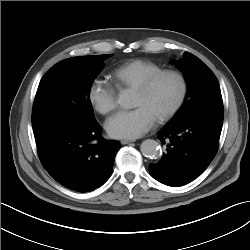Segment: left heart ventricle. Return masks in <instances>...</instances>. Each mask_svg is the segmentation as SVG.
<instances>
[{
  "mask_svg": "<svg viewBox=\"0 0 250 250\" xmlns=\"http://www.w3.org/2000/svg\"><path fill=\"white\" fill-rule=\"evenodd\" d=\"M179 92L178 81L170 76L160 78L147 94L135 91L134 107H145L155 119L170 108Z\"/></svg>",
  "mask_w": 250,
  "mask_h": 250,
  "instance_id": "b2bd125f",
  "label": "left heart ventricle"
}]
</instances>
